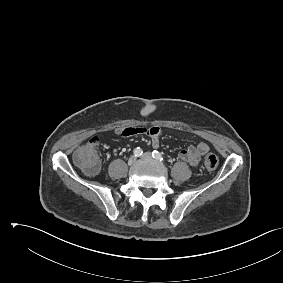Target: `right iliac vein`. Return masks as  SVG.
Here are the masks:
<instances>
[{
	"instance_id": "63e3f726",
	"label": "right iliac vein",
	"mask_w": 283,
	"mask_h": 283,
	"mask_svg": "<svg viewBox=\"0 0 283 283\" xmlns=\"http://www.w3.org/2000/svg\"><path fill=\"white\" fill-rule=\"evenodd\" d=\"M137 158L136 156H131L128 160L129 165H133L136 162Z\"/></svg>"
}]
</instances>
